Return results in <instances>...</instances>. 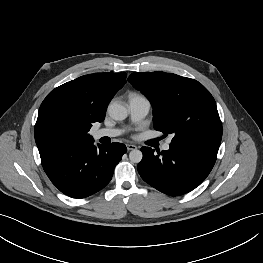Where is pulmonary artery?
<instances>
[{
  "instance_id": "1",
  "label": "pulmonary artery",
  "mask_w": 263,
  "mask_h": 263,
  "mask_svg": "<svg viewBox=\"0 0 263 263\" xmlns=\"http://www.w3.org/2000/svg\"><path fill=\"white\" fill-rule=\"evenodd\" d=\"M129 110L132 122L137 123L146 117L150 110V102L148 99L141 95L131 96L129 99ZM122 133V130L117 128H101L93 132L95 139L103 137H116ZM171 139H168L163 144V149L168 150L170 147Z\"/></svg>"
}]
</instances>
